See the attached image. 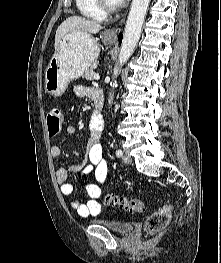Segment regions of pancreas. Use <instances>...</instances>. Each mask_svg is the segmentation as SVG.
I'll use <instances>...</instances> for the list:
<instances>
[{"mask_svg":"<svg viewBox=\"0 0 221 263\" xmlns=\"http://www.w3.org/2000/svg\"><path fill=\"white\" fill-rule=\"evenodd\" d=\"M97 67V63H93L90 68L83 74V78H85L86 80H93V75L95 74L94 70Z\"/></svg>","mask_w":221,"mask_h":263,"instance_id":"cf45deb5","label":"pancreas"}]
</instances>
